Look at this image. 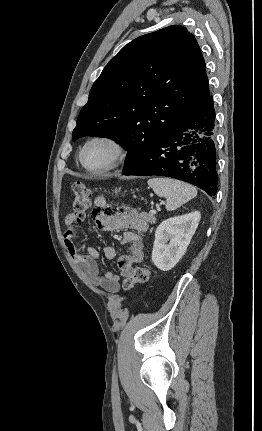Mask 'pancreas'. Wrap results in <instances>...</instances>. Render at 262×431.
<instances>
[{"mask_svg":"<svg viewBox=\"0 0 262 431\" xmlns=\"http://www.w3.org/2000/svg\"><path fill=\"white\" fill-rule=\"evenodd\" d=\"M145 221H146V222H150V223L154 222V217H153V215H149V216H147V217H146V219H145Z\"/></svg>","mask_w":262,"mask_h":431,"instance_id":"obj_1","label":"pancreas"}]
</instances>
